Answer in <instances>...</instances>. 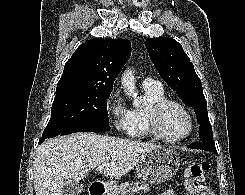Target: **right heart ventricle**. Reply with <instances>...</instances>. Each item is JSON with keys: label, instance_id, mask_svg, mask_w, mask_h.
I'll use <instances>...</instances> for the list:
<instances>
[{"label": "right heart ventricle", "instance_id": "obj_1", "mask_svg": "<svg viewBox=\"0 0 245 195\" xmlns=\"http://www.w3.org/2000/svg\"><path fill=\"white\" fill-rule=\"evenodd\" d=\"M147 105L143 108H134L130 110L131 129L129 136L134 138H144L151 135L147 125V112L150 106L166 98L163 88L144 89Z\"/></svg>", "mask_w": 245, "mask_h": 195}]
</instances>
